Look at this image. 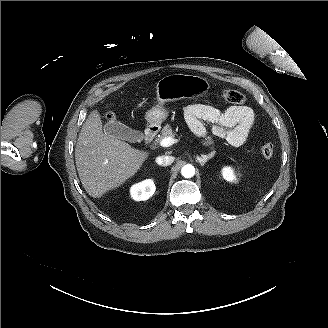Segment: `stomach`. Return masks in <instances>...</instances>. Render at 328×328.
I'll return each mask as SVG.
<instances>
[{"instance_id": "1", "label": "stomach", "mask_w": 328, "mask_h": 328, "mask_svg": "<svg viewBox=\"0 0 328 328\" xmlns=\"http://www.w3.org/2000/svg\"><path fill=\"white\" fill-rule=\"evenodd\" d=\"M211 89L208 79L187 74H172L161 78L156 85V101L145 113L149 130H159L168 118V104L183 99H194L204 96Z\"/></svg>"}]
</instances>
